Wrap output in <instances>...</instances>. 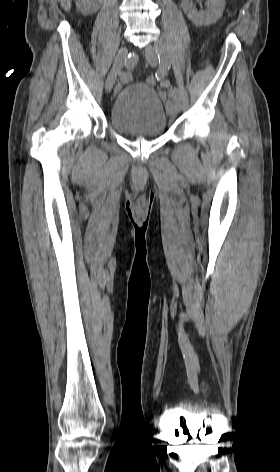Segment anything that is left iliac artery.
I'll list each match as a JSON object with an SVG mask.
<instances>
[{"instance_id": "obj_1", "label": "left iliac artery", "mask_w": 280, "mask_h": 472, "mask_svg": "<svg viewBox=\"0 0 280 472\" xmlns=\"http://www.w3.org/2000/svg\"><path fill=\"white\" fill-rule=\"evenodd\" d=\"M156 50L158 53V56L161 60V62L166 66L170 67V59L166 51V47L164 44H157L156 45ZM171 96L173 101L175 102L176 106L178 109L181 107V102H180V93L177 88H173L171 92Z\"/></svg>"}]
</instances>
